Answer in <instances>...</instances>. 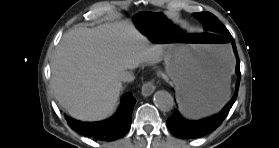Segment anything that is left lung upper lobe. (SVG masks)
<instances>
[{
  "mask_svg": "<svg viewBox=\"0 0 279 148\" xmlns=\"http://www.w3.org/2000/svg\"><path fill=\"white\" fill-rule=\"evenodd\" d=\"M194 16L204 24V30L219 36L231 35L226 27L218 20L216 16L209 12L194 13Z\"/></svg>",
  "mask_w": 279,
  "mask_h": 148,
  "instance_id": "obj_1",
  "label": "left lung upper lobe"
}]
</instances>
